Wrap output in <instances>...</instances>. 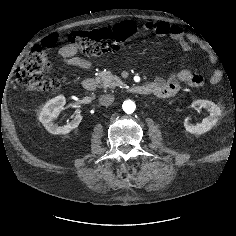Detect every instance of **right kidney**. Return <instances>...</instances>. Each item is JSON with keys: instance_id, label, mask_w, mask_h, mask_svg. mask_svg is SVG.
Listing matches in <instances>:
<instances>
[{"instance_id": "obj_1", "label": "right kidney", "mask_w": 236, "mask_h": 236, "mask_svg": "<svg viewBox=\"0 0 236 236\" xmlns=\"http://www.w3.org/2000/svg\"><path fill=\"white\" fill-rule=\"evenodd\" d=\"M65 103V97L63 95H59L49 100L42 108L39 115V120L49 133L68 134L72 129H75L80 124L82 116L79 113L76 114L72 121L63 126H58L54 123V118L59 115Z\"/></svg>"}]
</instances>
